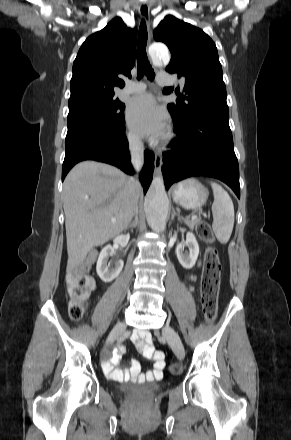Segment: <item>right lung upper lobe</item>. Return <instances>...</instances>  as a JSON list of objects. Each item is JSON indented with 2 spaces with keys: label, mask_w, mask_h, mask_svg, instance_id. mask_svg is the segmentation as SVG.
Here are the masks:
<instances>
[{
  "label": "right lung upper lobe",
  "mask_w": 291,
  "mask_h": 440,
  "mask_svg": "<svg viewBox=\"0 0 291 440\" xmlns=\"http://www.w3.org/2000/svg\"><path fill=\"white\" fill-rule=\"evenodd\" d=\"M137 30L116 17L82 44L73 63L69 101L86 96H111L114 87L125 83L120 75L131 76L135 62Z\"/></svg>",
  "instance_id": "cb5924a9"
}]
</instances>
